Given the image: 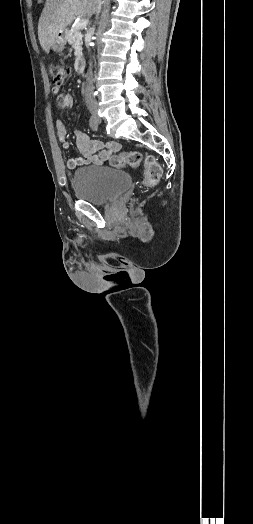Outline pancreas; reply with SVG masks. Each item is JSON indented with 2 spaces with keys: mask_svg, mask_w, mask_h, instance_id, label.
<instances>
[{
  "mask_svg": "<svg viewBox=\"0 0 253 524\" xmlns=\"http://www.w3.org/2000/svg\"><path fill=\"white\" fill-rule=\"evenodd\" d=\"M65 35L68 43L71 44L72 47L77 50L76 60H79L82 56L83 45V35L80 31V28L72 27L71 29L66 30Z\"/></svg>",
  "mask_w": 253,
  "mask_h": 524,
  "instance_id": "cf45deb5",
  "label": "pancreas"
}]
</instances>
